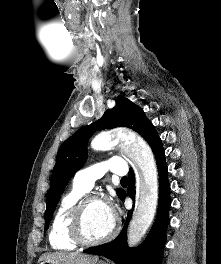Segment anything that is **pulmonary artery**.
Listing matches in <instances>:
<instances>
[{"mask_svg":"<svg viewBox=\"0 0 221 264\" xmlns=\"http://www.w3.org/2000/svg\"><path fill=\"white\" fill-rule=\"evenodd\" d=\"M108 171L124 176L127 173L125 161L119 157H112L106 161L95 163L79 170L74 176V184L85 191H89L96 180Z\"/></svg>","mask_w":221,"mask_h":264,"instance_id":"e3ab8cb5","label":"pulmonary artery"}]
</instances>
